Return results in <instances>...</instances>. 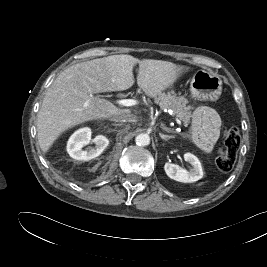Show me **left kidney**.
<instances>
[{"mask_svg": "<svg viewBox=\"0 0 267 267\" xmlns=\"http://www.w3.org/2000/svg\"><path fill=\"white\" fill-rule=\"evenodd\" d=\"M184 160L192 165L189 171L179 165L167 162L164 165L167 176L183 183H192L201 179L203 177V169L199 159L191 153H185Z\"/></svg>", "mask_w": 267, "mask_h": 267, "instance_id": "5707ae66", "label": "left kidney"}]
</instances>
